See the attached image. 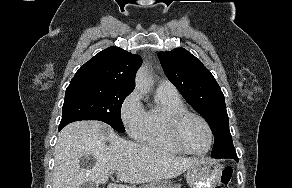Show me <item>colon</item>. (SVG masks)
<instances>
[{"instance_id":"colon-1","label":"colon","mask_w":292,"mask_h":188,"mask_svg":"<svg viewBox=\"0 0 292 188\" xmlns=\"http://www.w3.org/2000/svg\"><path fill=\"white\" fill-rule=\"evenodd\" d=\"M232 177L233 169L231 167H225L221 173L220 181L215 188H230Z\"/></svg>"}]
</instances>
